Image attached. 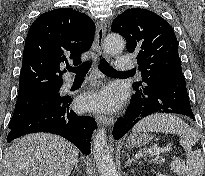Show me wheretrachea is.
<instances>
[{"label":"trachea","mask_w":205,"mask_h":176,"mask_svg":"<svg viewBox=\"0 0 205 176\" xmlns=\"http://www.w3.org/2000/svg\"><path fill=\"white\" fill-rule=\"evenodd\" d=\"M90 66H91V62H85L78 67H69L68 71L75 73V77H84L88 73ZM99 69L102 73L106 75L124 73V72L115 70L105 59H101L99 63Z\"/></svg>","instance_id":"3493384b"}]
</instances>
